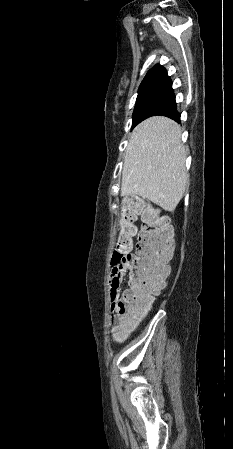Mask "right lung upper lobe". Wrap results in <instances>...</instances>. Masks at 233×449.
I'll list each match as a JSON object with an SVG mask.
<instances>
[{
  "label": "right lung upper lobe",
  "instance_id": "obj_1",
  "mask_svg": "<svg viewBox=\"0 0 233 449\" xmlns=\"http://www.w3.org/2000/svg\"><path fill=\"white\" fill-rule=\"evenodd\" d=\"M156 90H172L171 79L165 68L159 64L148 71L139 87L138 94Z\"/></svg>",
  "mask_w": 233,
  "mask_h": 449
}]
</instances>
